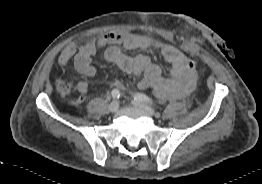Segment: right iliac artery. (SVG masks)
I'll return each mask as SVG.
<instances>
[{"mask_svg": "<svg viewBox=\"0 0 262 184\" xmlns=\"http://www.w3.org/2000/svg\"><path fill=\"white\" fill-rule=\"evenodd\" d=\"M111 95H112V97H113L114 99H119V97H120V91H119L118 89H114V90H112Z\"/></svg>", "mask_w": 262, "mask_h": 184, "instance_id": "82829eb1", "label": "right iliac artery"}]
</instances>
